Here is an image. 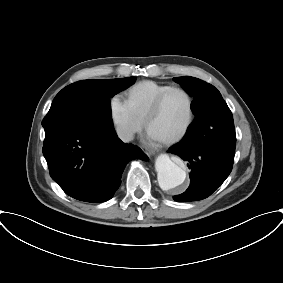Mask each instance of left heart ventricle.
I'll list each match as a JSON object with an SVG mask.
<instances>
[{
	"instance_id": "1",
	"label": "left heart ventricle",
	"mask_w": 283,
	"mask_h": 283,
	"mask_svg": "<svg viewBox=\"0 0 283 283\" xmlns=\"http://www.w3.org/2000/svg\"><path fill=\"white\" fill-rule=\"evenodd\" d=\"M188 116V101L179 91L165 98L158 114L151 120L148 132L160 140L175 135L183 127Z\"/></svg>"
}]
</instances>
